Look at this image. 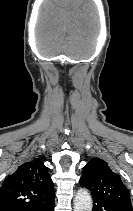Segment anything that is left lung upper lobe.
I'll return each instance as SVG.
<instances>
[{
  "mask_svg": "<svg viewBox=\"0 0 133 211\" xmlns=\"http://www.w3.org/2000/svg\"><path fill=\"white\" fill-rule=\"evenodd\" d=\"M80 184L91 191L93 199L132 211L128 189L104 160H90L84 167Z\"/></svg>",
  "mask_w": 133,
  "mask_h": 211,
  "instance_id": "left-lung-upper-lobe-1",
  "label": "left lung upper lobe"
}]
</instances>
